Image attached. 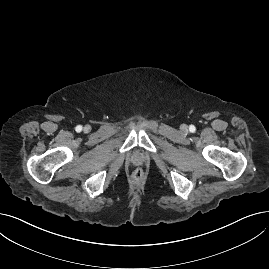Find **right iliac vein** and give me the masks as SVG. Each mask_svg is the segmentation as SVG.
Wrapping results in <instances>:
<instances>
[{
  "label": "right iliac vein",
  "mask_w": 269,
  "mask_h": 269,
  "mask_svg": "<svg viewBox=\"0 0 269 269\" xmlns=\"http://www.w3.org/2000/svg\"><path fill=\"white\" fill-rule=\"evenodd\" d=\"M91 130V126L90 125H86L84 127V132L88 133Z\"/></svg>",
  "instance_id": "63e3f726"
}]
</instances>
